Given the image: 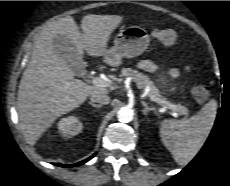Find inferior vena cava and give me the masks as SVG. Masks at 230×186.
<instances>
[{"mask_svg": "<svg viewBox=\"0 0 230 186\" xmlns=\"http://www.w3.org/2000/svg\"><path fill=\"white\" fill-rule=\"evenodd\" d=\"M90 99H91V102H97L101 104H108L110 102V97L105 94H101V93L91 94Z\"/></svg>", "mask_w": 230, "mask_h": 186, "instance_id": "obj_1", "label": "inferior vena cava"}]
</instances>
